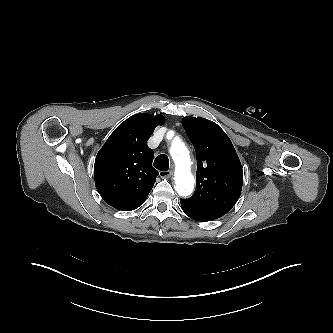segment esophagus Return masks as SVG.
<instances>
[{
	"instance_id": "obj_1",
	"label": "esophagus",
	"mask_w": 333,
	"mask_h": 333,
	"mask_svg": "<svg viewBox=\"0 0 333 333\" xmlns=\"http://www.w3.org/2000/svg\"><path fill=\"white\" fill-rule=\"evenodd\" d=\"M173 172L172 170H169V171H160L159 172V176L161 178H170L172 176Z\"/></svg>"
}]
</instances>
